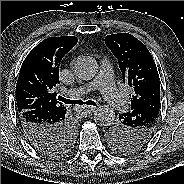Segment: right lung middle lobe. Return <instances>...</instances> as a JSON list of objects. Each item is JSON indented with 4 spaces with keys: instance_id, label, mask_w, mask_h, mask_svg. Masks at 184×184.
<instances>
[{
    "instance_id": "dd1d6c3e",
    "label": "right lung middle lobe",
    "mask_w": 184,
    "mask_h": 184,
    "mask_svg": "<svg viewBox=\"0 0 184 184\" xmlns=\"http://www.w3.org/2000/svg\"><path fill=\"white\" fill-rule=\"evenodd\" d=\"M73 138H74V130L68 129L65 132V135L62 138V142L59 146H57L56 148H46L41 150L40 152L48 156L61 155L70 149V147L72 146Z\"/></svg>"
}]
</instances>
